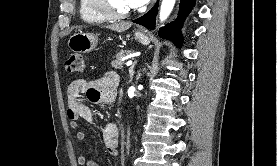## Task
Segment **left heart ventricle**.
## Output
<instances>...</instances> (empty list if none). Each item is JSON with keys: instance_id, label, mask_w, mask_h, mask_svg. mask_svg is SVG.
<instances>
[{"instance_id": "1", "label": "left heart ventricle", "mask_w": 277, "mask_h": 166, "mask_svg": "<svg viewBox=\"0 0 277 166\" xmlns=\"http://www.w3.org/2000/svg\"><path fill=\"white\" fill-rule=\"evenodd\" d=\"M109 7L115 12H126L131 10L128 0H106Z\"/></svg>"}]
</instances>
